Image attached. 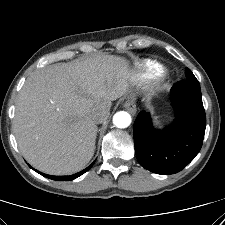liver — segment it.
Instances as JSON below:
<instances>
[{"mask_svg": "<svg viewBox=\"0 0 225 225\" xmlns=\"http://www.w3.org/2000/svg\"><path fill=\"white\" fill-rule=\"evenodd\" d=\"M131 76L113 55L58 63L34 72L19 92L14 132L24 158L51 175L82 170L94 155L93 113L127 92Z\"/></svg>", "mask_w": 225, "mask_h": 225, "instance_id": "obj_1", "label": "liver"}]
</instances>
